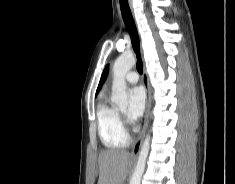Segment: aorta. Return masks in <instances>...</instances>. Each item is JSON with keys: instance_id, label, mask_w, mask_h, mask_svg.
<instances>
[{"instance_id": "obj_1", "label": "aorta", "mask_w": 235, "mask_h": 184, "mask_svg": "<svg viewBox=\"0 0 235 184\" xmlns=\"http://www.w3.org/2000/svg\"><path fill=\"white\" fill-rule=\"evenodd\" d=\"M135 64V58L133 54H123L120 58H117L113 66V88L114 94L111 98V102L116 104L118 108H126L128 106L129 94L127 92V84L125 76L132 66ZM150 150V136H146L143 140L141 150L139 152V158L135 172L131 178L130 184H141V178L144 174L146 160L148 158Z\"/></svg>"}]
</instances>
